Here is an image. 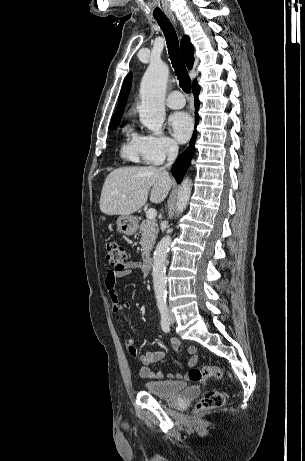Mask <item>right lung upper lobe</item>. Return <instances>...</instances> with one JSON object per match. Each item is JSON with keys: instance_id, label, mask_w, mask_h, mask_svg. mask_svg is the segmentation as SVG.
<instances>
[{"instance_id": "obj_1", "label": "right lung upper lobe", "mask_w": 305, "mask_h": 461, "mask_svg": "<svg viewBox=\"0 0 305 461\" xmlns=\"http://www.w3.org/2000/svg\"><path fill=\"white\" fill-rule=\"evenodd\" d=\"M181 52L187 67L191 69L194 63V48L193 45L190 43L189 37L186 35L183 36L181 40ZM131 78L132 75L131 73H129L123 83V87L119 95V103L117 105L116 113L112 117V122L120 121L123 115L124 107L126 105L127 97L130 91Z\"/></svg>"}]
</instances>
